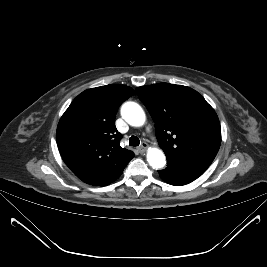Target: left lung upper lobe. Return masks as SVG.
Instances as JSON below:
<instances>
[{"label":"left lung upper lobe","mask_w":267,"mask_h":267,"mask_svg":"<svg viewBox=\"0 0 267 267\" xmlns=\"http://www.w3.org/2000/svg\"><path fill=\"white\" fill-rule=\"evenodd\" d=\"M155 122L159 146L167 158L205 171L221 144L214 109L195 90L169 83L136 88Z\"/></svg>","instance_id":"left-lung-upper-lobe-1"}]
</instances>
